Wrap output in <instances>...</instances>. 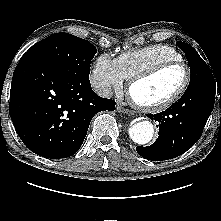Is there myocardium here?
Listing matches in <instances>:
<instances>
[{"label": "myocardium", "instance_id": "myocardium-1", "mask_svg": "<svg viewBox=\"0 0 221 221\" xmlns=\"http://www.w3.org/2000/svg\"><path fill=\"white\" fill-rule=\"evenodd\" d=\"M174 66H182L185 70V78L183 81V84L181 87L168 99H166L163 102H160L158 104H143L139 102L136 98L133 96V88L136 84L143 82L147 79L152 78L159 72L168 69L170 67ZM191 83V70L187 63H185L182 60H168L161 63H158L147 70L137 74L133 78L130 79V82L128 84L127 93L128 96L132 102V104L139 110L150 112V113H156L161 112L164 110H167L171 106H173L187 91L189 85Z\"/></svg>", "mask_w": 221, "mask_h": 221}]
</instances>
